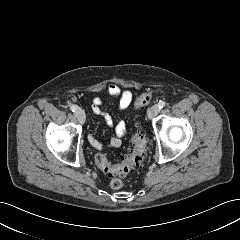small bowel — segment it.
I'll use <instances>...</instances> for the list:
<instances>
[{
    "label": "small bowel",
    "instance_id": "1",
    "mask_svg": "<svg viewBox=\"0 0 240 240\" xmlns=\"http://www.w3.org/2000/svg\"><path fill=\"white\" fill-rule=\"evenodd\" d=\"M107 93L118 100V106L120 110L128 108L132 102L133 95L130 90L121 89L117 84L111 83L107 87ZM91 109L97 116L103 118L105 123L109 126H113L114 122L112 117L102 110V99L100 97H94L92 99ZM127 125L123 120H119L114 126V136L109 140L108 143H102L94 135L88 136L90 144L97 150L103 151L108 147L117 148L122 144V139L127 133Z\"/></svg>",
    "mask_w": 240,
    "mask_h": 240
}]
</instances>
